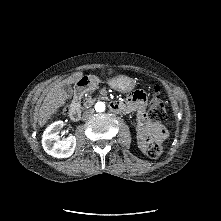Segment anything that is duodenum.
<instances>
[{
    "label": "duodenum",
    "mask_w": 221,
    "mask_h": 221,
    "mask_svg": "<svg viewBox=\"0 0 221 221\" xmlns=\"http://www.w3.org/2000/svg\"><path fill=\"white\" fill-rule=\"evenodd\" d=\"M92 85L90 78L82 79L75 88L74 101L71 105L69 116L72 120L76 121L81 116V99L88 87ZM110 109L115 113H128L127 106L121 101H113L109 103Z\"/></svg>",
    "instance_id": "1"
}]
</instances>
